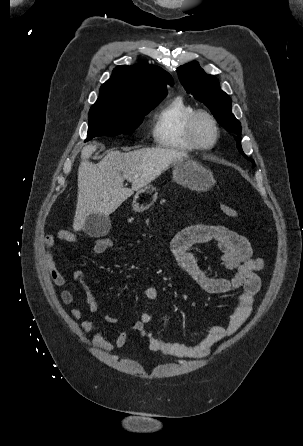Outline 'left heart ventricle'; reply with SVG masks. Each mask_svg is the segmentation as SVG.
<instances>
[{
	"label": "left heart ventricle",
	"instance_id": "left-heart-ventricle-1",
	"mask_svg": "<svg viewBox=\"0 0 303 446\" xmlns=\"http://www.w3.org/2000/svg\"><path fill=\"white\" fill-rule=\"evenodd\" d=\"M195 132L198 140L204 145H209L214 139V128L211 122L205 117H200L197 120Z\"/></svg>",
	"mask_w": 303,
	"mask_h": 446
}]
</instances>
